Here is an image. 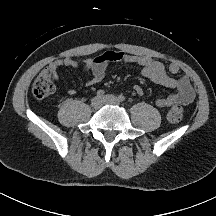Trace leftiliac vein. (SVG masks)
Instances as JSON below:
<instances>
[{
    "instance_id": "left-iliac-vein-1",
    "label": "left iliac vein",
    "mask_w": 216,
    "mask_h": 216,
    "mask_svg": "<svg viewBox=\"0 0 216 216\" xmlns=\"http://www.w3.org/2000/svg\"><path fill=\"white\" fill-rule=\"evenodd\" d=\"M102 101L108 105H119V100L114 95H105Z\"/></svg>"
}]
</instances>
